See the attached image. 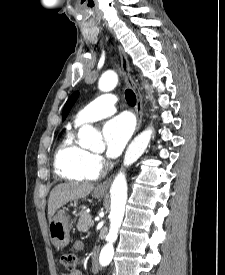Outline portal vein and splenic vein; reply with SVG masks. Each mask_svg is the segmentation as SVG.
Here are the masks:
<instances>
[{
  "mask_svg": "<svg viewBox=\"0 0 225 275\" xmlns=\"http://www.w3.org/2000/svg\"><path fill=\"white\" fill-rule=\"evenodd\" d=\"M91 224H92V225L94 224V221H93V220H91Z\"/></svg>",
  "mask_w": 225,
  "mask_h": 275,
  "instance_id": "18ae733b",
  "label": "portal vein and splenic vein"
}]
</instances>
